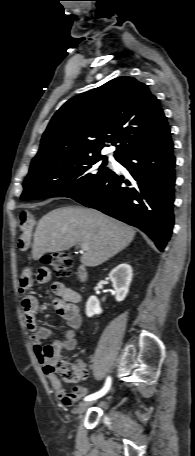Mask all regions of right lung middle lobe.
Instances as JSON below:
<instances>
[{
	"instance_id": "1",
	"label": "right lung middle lobe",
	"mask_w": 195,
	"mask_h": 456,
	"mask_svg": "<svg viewBox=\"0 0 195 456\" xmlns=\"http://www.w3.org/2000/svg\"><path fill=\"white\" fill-rule=\"evenodd\" d=\"M106 164V157L91 155L65 157L32 166L23 183L21 199L76 198L96 188L113 173Z\"/></svg>"
}]
</instances>
